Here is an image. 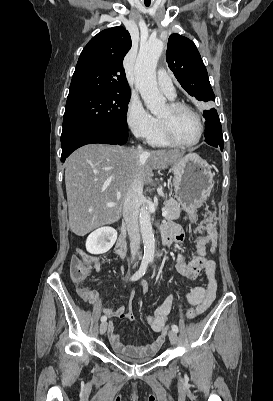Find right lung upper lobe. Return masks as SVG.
Wrapping results in <instances>:
<instances>
[{"label":"right lung upper lobe","mask_w":273,"mask_h":401,"mask_svg":"<svg viewBox=\"0 0 273 401\" xmlns=\"http://www.w3.org/2000/svg\"><path fill=\"white\" fill-rule=\"evenodd\" d=\"M131 37L123 27L98 33L82 50L70 84L69 95L85 92L130 94L123 59Z\"/></svg>","instance_id":"obj_1"}]
</instances>
